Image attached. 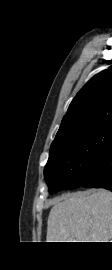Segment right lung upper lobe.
<instances>
[{"label": "right lung upper lobe", "instance_id": "cb5924a9", "mask_svg": "<svg viewBox=\"0 0 112 270\" xmlns=\"http://www.w3.org/2000/svg\"><path fill=\"white\" fill-rule=\"evenodd\" d=\"M110 121L112 122V66L94 76L77 93L63 117L51 147Z\"/></svg>", "mask_w": 112, "mask_h": 270}]
</instances>
